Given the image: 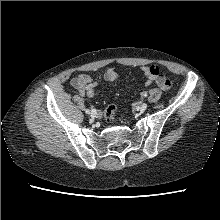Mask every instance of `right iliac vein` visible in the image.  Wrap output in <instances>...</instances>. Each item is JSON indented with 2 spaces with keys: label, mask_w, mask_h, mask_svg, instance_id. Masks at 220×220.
<instances>
[{
  "label": "right iliac vein",
  "mask_w": 220,
  "mask_h": 220,
  "mask_svg": "<svg viewBox=\"0 0 220 220\" xmlns=\"http://www.w3.org/2000/svg\"><path fill=\"white\" fill-rule=\"evenodd\" d=\"M96 111L95 110H91L90 111V116L92 117V118H94V117H96Z\"/></svg>",
  "instance_id": "right-iliac-vein-1"
}]
</instances>
